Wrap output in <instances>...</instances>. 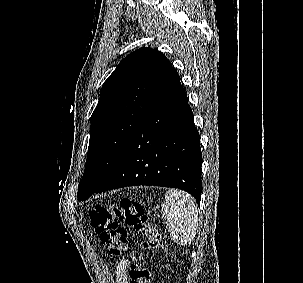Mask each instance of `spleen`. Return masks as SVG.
Wrapping results in <instances>:
<instances>
[{
  "mask_svg": "<svg viewBox=\"0 0 303 283\" xmlns=\"http://www.w3.org/2000/svg\"><path fill=\"white\" fill-rule=\"evenodd\" d=\"M161 208L172 240L179 245L189 244L194 239L198 227L195 202L185 192L169 189Z\"/></svg>",
  "mask_w": 303,
  "mask_h": 283,
  "instance_id": "3e777b00",
  "label": "spleen"
}]
</instances>
